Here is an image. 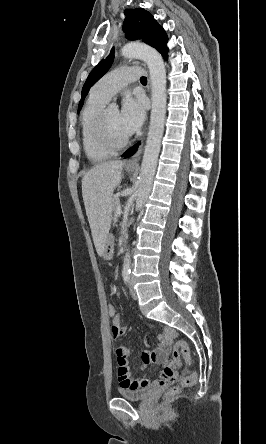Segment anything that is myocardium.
Instances as JSON below:
<instances>
[{
    "instance_id": "f54148a6",
    "label": "myocardium",
    "mask_w": 266,
    "mask_h": 444,
    "mask_svg": "<svg viewBox=\"0 0 266 444\" xmlns=\"http://www.w3.org/2000/svg\"><path fill=\"white\" fill-rule=\"evenodd\" d=\"M107 109H104L98 116L94 126V138L96 142L104 149L109 151H118L126 147L130 141V136H127L120 142H114L110 139L107 133L106 115Z\"/></svg>"
}]
</instances>
